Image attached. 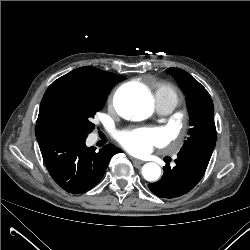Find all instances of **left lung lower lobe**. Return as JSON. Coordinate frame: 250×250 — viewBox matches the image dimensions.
<instances>
[{
    "instance_id": "left-lung-lower-lobe-1",
    "label": "left lung lower lobe",
    "mask_w": 250,
    "mask_h": 250,
    "mask_svg": "<svg viewBox=\"0 0 250 250\" xmlns=\"http://www.w3.org/2000/svg\"><path fill=\"white\" fill-rule=\"evenodd\" d=\"M215 141L197 143L182 148L176 166L166 164L162 178L148 185L160 198H175L188 193L203 177L211 158Z\"/></svg>"
}]
</instances>
